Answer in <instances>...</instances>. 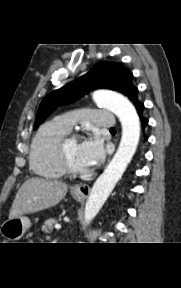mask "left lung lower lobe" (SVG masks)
Returning a JSON list of instances; mask_svg holds the SVG:
<instances>
[{
  "mask_svg": "<svg viewBox=\"0 0 181 288\" xmlns=\"http://www.w3.org/2000/svg\"><path fill=\"white\" fill-rule=\"evenodd\" d=\"M130 100L133 102V104L135 105V107H136V109H137V112H138V114H139V116H140V119H141L142 127H143V129H144V127L148 124V120L145 119V118H143V116H142V110H143V108H144V104L141 103V102L137 99V93H135ZM145 139H147L146 136H145Z\"/></svg>",
  "mask_w": 181,
  "mask_h": 288,
  "instance_id": "obj_1",
  "label": "left lung lower lobe"
}]
</instances>
